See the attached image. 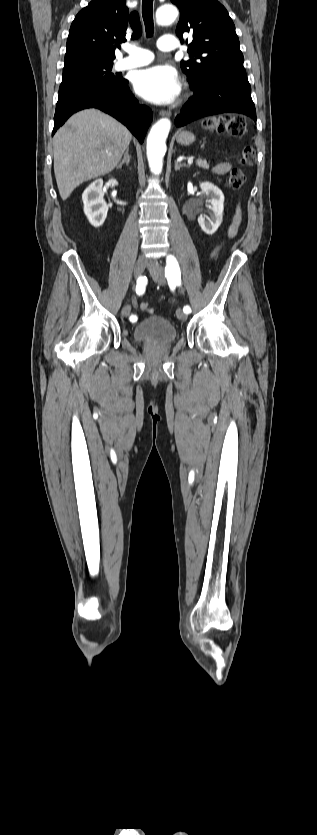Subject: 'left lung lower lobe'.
Segmentation results:
<instances>
[{
    "mask_svg": "<svg viewBox=\"0 0 317 835\" xmlns=\"http://www.w3.org/2000/svg\"><path fill=\"white\" fill-rule=\"evenodd\" d=\"M175 119L177 127L219 113H239L256 121L251 87L244 68L215 67L198 84Z\"/></svg>",
    "mask_w": 317,
    "mask_h": 835,
    "instance_id": "0a47b994",
    "label": "left lung lower lobe"
}]
</instances>
